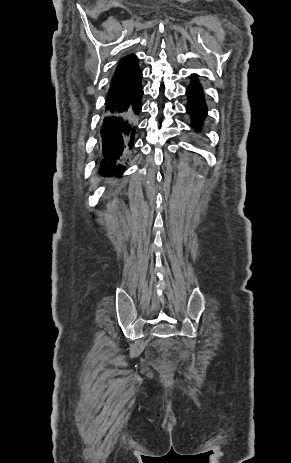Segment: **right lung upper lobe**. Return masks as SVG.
Segmentation results:
<instances>
[{
    "instance_id": "cb5924a9",
    "label": "right lung upper lobe",
    "mask_w": 291,
    "mask_h": 463,
    "mask_svg": "<svg viewBox=\"0 0 291 463\" xmlns=\"http://www.w3.org/2000/svg\"><path fill=\"white\" fill-rule=\"evenodd\" d=\"M138 61V57L132 54L127 55L120 60L115 70V74L113 76L112 83L107 94V103L120 98L122 94L126 91V89L129 87L132 78L136 77L135 75L140 72ZM119 81H123V86L117 87L115 85V83Z\"/></svg>"
}]
</instances>
